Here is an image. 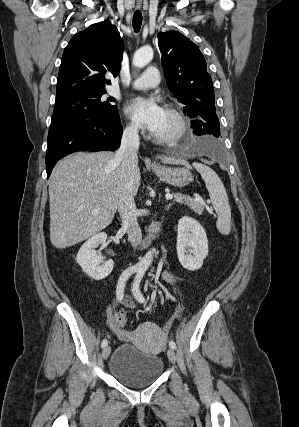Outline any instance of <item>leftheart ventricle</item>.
<instances>
[{
    "label": "left heart ventricle",
    "mask_w": 299,
    "mask_h": 427,
    "mask_svg": "<svg viewBox=\"0 0 299 427\" xmlns=\"http://www.w3.org/2000/svg\"><path fill=\"white\" fill-rule=\"evenodd\" d=\"M176 128V124L174 119L164 111L163 118L161 120V123L157 130L154 132V134L158 135H167L172 133Z\"/></svg>",
    "instance_id": "b2bd125f"
}]
</instances>
